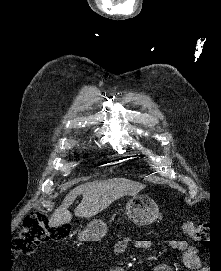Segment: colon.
Masks as SVG:
<instances>
[{"label": "colon", "instance_id": "obj_1", "mask_svg": "<svg viewBox=\"0 0 221 271\" xmlns=\"http://www.w3.org/2000/svg\"><path fill=\"white\" fill-rule=\"evenodd\" d=\"M185 232L189 238L199 244L207 245L212 240L209 227L205 223L186 222ZM65 225H53L48 214L41 209L27 214L21 227L13 236L11 248L15 255H28L43 242L58 240L68 234Z\"/></svg>", "mask_w": 221, "mask_h": 271}]
</instances>
